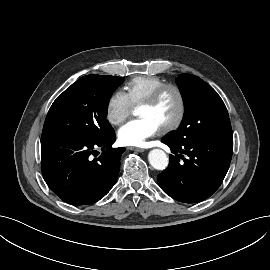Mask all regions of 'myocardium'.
<instances>
[{
  "instance_id": "myocardium-1",
  "label": "myocardium",
  "mask_w": 270,
  "mask_h": 270,
  "mask_svg": "<svg viewBox=\"0 0 270 270\" xmlns=\"http://www.w3.org/2000/svg\"><path fill=\"white\" fill-rule=\"evenodd\" d=\"M173 90L178 98V111L175 119L163 126L161 131L167 133L177 129L183 122L186 114V98L181 87L174 83H164L158 86L142 103L141 105H154L166 90Z\"/></svg>"
}]
</instances>
